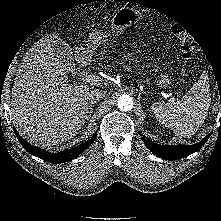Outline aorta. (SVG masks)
I'll use <instances>...</instances> for the list:
<instances>
[{
  "label": "aorta",
  "instance_id": "1",
  "mask_svg": "<svg viewBox=\"0 0 221 221\" xmlns=\"http://www.w3.org/2000/svg\"><path fill=\"white\" fill-rule=\"evenodd\" d=\"M133 107V100L129 95H122L118 99V108L121 111H130Z\"/></svg>",
  "mask_w": 221,
  "mask_h": 221
}]
</instances>
